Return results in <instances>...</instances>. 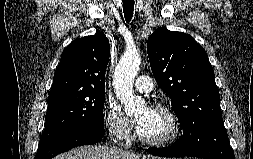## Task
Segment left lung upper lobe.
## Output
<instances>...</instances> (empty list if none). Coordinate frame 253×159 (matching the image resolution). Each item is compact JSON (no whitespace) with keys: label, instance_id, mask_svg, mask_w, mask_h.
I'll use <instances>...</instances> for the list:
<instances>
[{"label":"left lung upper lobe","instance_id":"1","mask_svg":"<svg viewBox=\"0 0 253 159\" xmlns=\"http://www.w3.org/2000/svg\"><path fill=\"white\" fill-rule=\"evenodd\" d=\"M147 52L154 78L171 98L183 134L222 118L213 68L193 37L158 28L148 38Z\"/></svg>","mask_w":253,"mask_h":159}]
</instances>
